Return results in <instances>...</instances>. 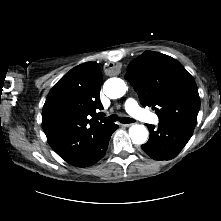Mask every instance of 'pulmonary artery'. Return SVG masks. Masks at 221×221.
Here are the masks:
<instances>
[{
	"label": "pulmonary artery",
	"instance_id": "pulmonary-artery-1",
	"mask_svg": "<svg viewBox=\"0 0 221 221\" xmlns=\"http://www.w3.org/2000/svg\"><path fill=\"white\" fill-rule=\"evenodd\" d=\"M124 107L131 116L135 117L136 119L142 122L155 124L159 120L155 114L150 113L139 107V105L133 98H128L125 101Z\"/></svg>",
	"mask_w": 221,
	"mask_h": 221
}]
</instances>
